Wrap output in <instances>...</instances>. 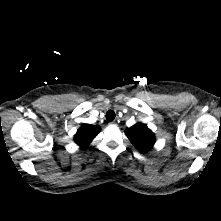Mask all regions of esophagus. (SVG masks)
<instances>
[{
    "label": "esophagus",
    "instance_id": "esophagus-1",
    "mask_svg": "<svg viewBox=\"0 0 221 221\" xmlns=\"http://www.w3.org/2000/svg\"><path fill=\"white\" fill-rule=\"evenodd\" d=\"M110 124L115 125V126L117 125V123L115 121L111 122Z\"/></svg>",
    "mask_w": 221,
    "mask_h": 221
}]
</instances>
